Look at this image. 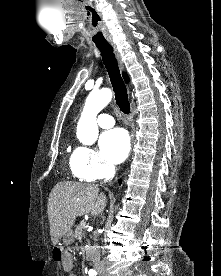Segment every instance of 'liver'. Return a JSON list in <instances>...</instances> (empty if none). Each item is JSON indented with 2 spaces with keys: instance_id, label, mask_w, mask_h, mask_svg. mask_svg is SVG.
Masks as SVG:
<instances>
[{
  "instance_id": "liver-1",
  "label": "liver",
  "mask_w": 221,
  "mask_h": 276,
  "mask_svg": "<svg viewBox=\"0 0 221 276\" xmlns=\"http://www.w3.org/2000/svg\"><path fill=\"white\" fill-rule=\"evenodd\" d=\"M105 194L94 184L61 182L52 189L47 205L50 235L55 245L71 231L76 217L101 214L106 207Z\"/></svg>"
}]
</instances>
